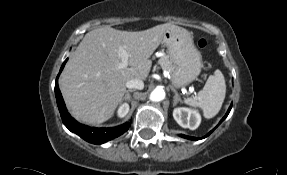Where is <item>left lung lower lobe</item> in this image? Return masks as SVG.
Listing matches in <instances>:
<instances>
[{
	"mask_svg": "<svg viewBox=\"0 0 287 175\" xmlns=\"http://www.w3.org/2000/svg\"><path fill=\"white\" fill-rule=\"evenodd\" d=\"M231 108H232V105L229 107V109H228L226 115L222 118V120L219 122V124L228 116V114H229ZM213 130H214V129H213ZM213 130L210 131V132H209L206 136H204L203 138H205V137H207L208 135H210V134L213 132ZM179 136H181V137H183V138L190 139V140H198V139H199V138H196V137H190V136H186V135H183V134H180Z\"/></svg>",
	"mask_w": 287,
	"mask_h": 175,
	"instance_id": "1",
	"label": "left lung lower lobe"
}]
</instances>
